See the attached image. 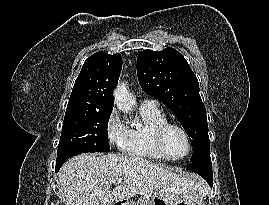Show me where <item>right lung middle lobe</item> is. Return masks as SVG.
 Returning a JSON list of instances; mask_svg holds the SVG:
<instances>
[{
    "label": "right lung middle lobe",
    "mask_w": 269,
    "mask_h": 205,
    "mask_svg": "<svg viewBox=\"0 0 269 205\" xmlns=\"http://www.w3.org/2000/svg\"><path fill=\"white\" fill-rule=\"evenodd\" d=\"M111 111L67 108L57 153L67 149L109 151L107 127Z\"/></svg>",
    "instance_id": "1"
}]
</instances>
